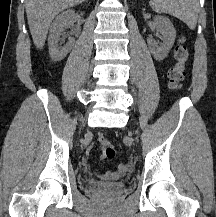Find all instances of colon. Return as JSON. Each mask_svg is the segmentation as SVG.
<instances>
[{
  "label": "colon",
  "instance_id": "1",
  "mask_svg": "<svg viewBox=\"0 0 216 217\" xmlns=\"http://www.w3.org/2000/svg\"><path fill=\"white\" fill-rule=\"evenodd\" d=\"M174 56L176 63L169 70L168 78L170 89L175 91L180 88L181 83L186 76V62L188 60L189 52L184 37L178 39L174 49ZM98 142L102 148V157L105 159H113L116 152L111 141L104 134H100Z\"/></svg>",
  "mask_w": 216,
  "mask_h": 217
}]
</instances>
